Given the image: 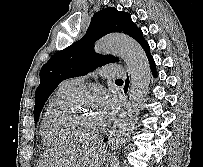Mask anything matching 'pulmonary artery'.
<instances>
[{
	"label": "pulmonary artery",
	"instance_id": "1",
	"mask_svg": "<svg viewBox=\"0 0 203 167\" xmlns=\"http://www.w3.org/2000/svg\"><path fill=\"white\" fill-rule=\"evenodd\" d=\"M99 73L107 78H117V77H120L123 75V70L118 65L109 64V65L103 66L99 70ZM81 80H82V78H73L70 81H68L67 84L74 86Z\"/></svg>",
	"mask_w": 203,
	"mask_h": 167
}]
</instances>
